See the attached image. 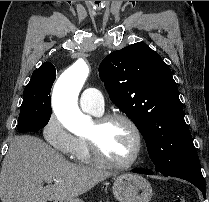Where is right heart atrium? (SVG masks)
<instances>
[{
  "label": "right heart atrium",
  "mask_w": 209,
  "mask_h": 202,
  "mask_svg": "<svg viewBox=\"0 0 209 202\" xmlns=\"http://www.w3.org/2000/svg\"><path fill=\"white\" fill-rule=\"evenodd\" d=\"M42 133L48 144L66 156L72 153L77 143V138L63 127L54 114L48 117Z\"/></svg>",
  "instance_id": "obj_1"
}]
</instances>
